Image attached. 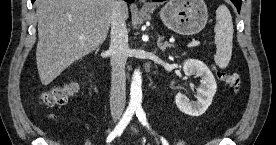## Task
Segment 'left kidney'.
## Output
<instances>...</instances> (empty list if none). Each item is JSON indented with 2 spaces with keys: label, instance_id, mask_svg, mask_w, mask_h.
Wrapping results in <instances>:
<instances>
[{
  "label": "left kidney",
  "instance_id": "1",
  "mask_svg": "<svg viewBox=\"0 0 276 145\" xmlns=\"http://www.w3.org/2000/svg\"><path fill=\"white\" fill-rule=\"evenodd\" d=\"M187 76L200 77V86L197 88V101L189 102L185 95L178 93L175 102L179 110L190 116H200L208 109L217 90L215 78L210 69L196 59H188L183 64Z\"/></svg>",
  "mask_w": 276,
  "mask_h": 145
}]
</instances>
